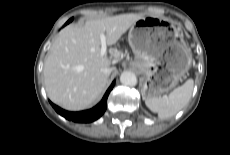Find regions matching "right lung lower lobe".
<instances>
[{"label": "right lung lower lobe", "instance_id": "obj_1", "mask_svg": "<svg viewBox=\"0 0 230 155\" xmlns=\"http://www.w3.org/2000/svg\"><path fill=\"white\" fill-rule=\"evenodd\" d=\"M113 86H114V82L109 87V89L106 91L101 102L89 110H85L81 112H69V111L63 110L60 107L54 105L52 102L50 103L53 106V108L57 111V113H59L60 115H62L68 120H72L74 122H83V123L93 122L96 119L100 118L105 112L107 108V98H108L110 91L113 89Z\"/></svg>", "mask_w": 230, "mask_h": 155}]
</instances>
